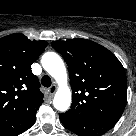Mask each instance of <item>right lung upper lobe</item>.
Here are the masks:
<instances>
[{
    "mask_svg": "<svg viewBox=\"0 0 136 136\" xmlns=\"http://www.w3.org/2000/svg\"><path fill=\"white\" fill-rule=\"evenodd\" d=\"M46 46L19 33L0 38V136H17L34 125L43 93L31 64Z\"/></svg>",
    "mask_w": 136,
    "mask_h": 136,
    "instance_id": "right-lung-upper-lobe-1",
    "label": "right lung upper lobe"
}]
</instances>
